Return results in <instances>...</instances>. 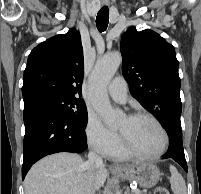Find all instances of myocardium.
I'll return each mask as SVG.
<instances>
[{
	"label": "myocardium",
	"instance_id": "f54148a6",
	"mask_svg": "<svg viewBox=\"0 0 201 194\" xmlns=\"http://www.w3.org/2000/svg\"><path fill=\"white\" fill-rule=\"evenodd\" d=\"M128 117H130V118H147V119L151 120L160 130L162 137H163V144H162V147L157 152H155L153 154H143V153H140V152H137L136 150H134L129 145V143L127 142L125 137L120 133L121 145H122L124 151L127 153V155H129L130 157L143 159V160H154V159H157V158L161 157L162 155H164L169 148L170 138H169V134H168L166 128L163 126V124L154 115H152L148 112L138 111V112L130 114Z\"/></svg>",
	"mask_w": 201,
	"mask_h": 194
}]
</instances>
